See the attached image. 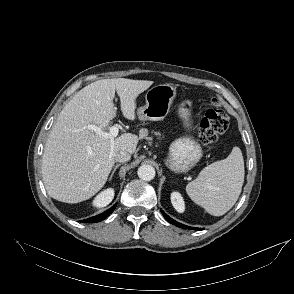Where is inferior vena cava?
<instances>
[{
	"mask_svg": "<svg viewBox=\"0 0 294 294\" xmlns=\"http://www.w3.org/2000/svg\"><path fill=\"white\" fill-rule=\"evenodd\" d=\"M131 159V154L126 151H120L115 155V160L117 162H127Z\"/></svg>",
	"mask_w": 294,
	"mask_h": 294,
	"instance_id": "obj_1",
	"label": "inferior vena cava"
}]
</instances>
